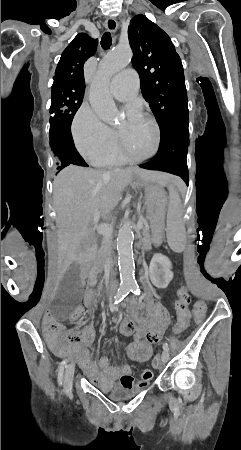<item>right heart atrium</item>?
<instances>
[{"mask_svg":"<svg viewBox=\"0 0 241 450\" xmlns=\"http://www.w3.org/2000/svg\"><path fill=\"white\" fill-rule=\"evenodd\" d=\"M72 137L78 153L84 159H100L113 150L108 140L114 134L102 123L88 104H82L72 121Z\"/></svg>","mask_w":241,"mask_h":450,"instance_id":"right-heart-atrium-1","label":"right heart atrium"}]
</instances>
